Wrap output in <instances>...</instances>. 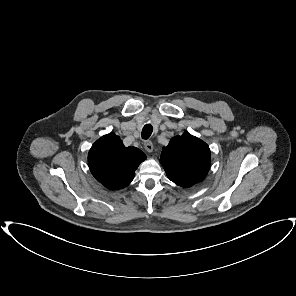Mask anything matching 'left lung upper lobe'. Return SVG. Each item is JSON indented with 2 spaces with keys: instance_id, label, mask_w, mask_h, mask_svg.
I'll return each mask as SVG.
<instances>
[{
  "instance_id": "left-lung-upper-lobe-1",
  "label": "left lung upper lobe",
  "mask_w": 296,
  "mask_h": 296,
  "mask_svg": "<svg viewBox=\"0 0 296 296\" xmlns=\"http://www.w3.org/2000/svg\"><path fill=\"white\" fill-rule=\"evenodd\" d=\"M160 163L169 180L181 187H191L202 181L210 169L209 146L185 131L171 138L163 147Z\"/></svg>"
}]
</instances>
